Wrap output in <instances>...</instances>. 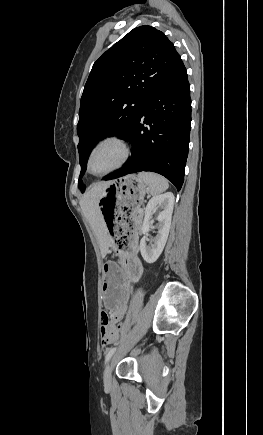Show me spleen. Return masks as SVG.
<instances>
[{
	"label": "spleen",
	"instance_id": "1",
	"mask_svg": "<svg viewBox=\"0 0 263 435\" xmlns=\"http://www.w3.org/2000/svg\"><path fill=\"white\" fill-rule=\"evenodd\" d=\"M138 178L148 186L152 195H157L168 189V181L158 174L152 172H140Z\"/></svg>",
	"mask_w": 263,
	"mask_h": 435
}]
</instances>
